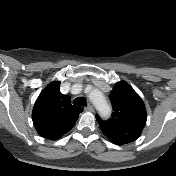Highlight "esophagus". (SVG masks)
<instances>
[{
    "label": "esophagus",
    "instance_id": "esophagus-1",
    "mask_svg": "<svg viewBox=\"0 0 176 176\" xmlns=\"http://www.w3.org/2000/svg\"><path fill=\"white\" fill-rule=\"evenodd\" d=\"M87 111H90V112H93L94 111V108L92 105H88L86 108H85Z\"/></svg>",
    "mask_w": 176,
    "mask_h": 176
}]
</instances>
